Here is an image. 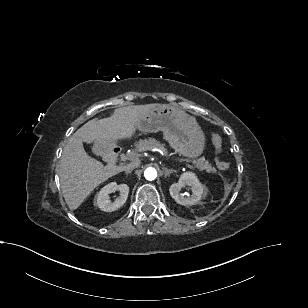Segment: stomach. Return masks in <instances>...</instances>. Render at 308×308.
I'll return each mask as SVG.
<instances>
[{
    "instance_id": "obj_1",
    "label": "stomach",
    "mask_w": 308,
    "mask_h": 308,
    "mask_svg": "<svg viewBox=\"0 0 308 308\" xmlns=\"http://www.w3.org/2000/svg\"><path fill=\"white\" fill-rule=\"evenodd\" d=\"M137 129L143 133L162 131L170 146L189 159L204 151L205 135L195 118L172 105L160 104L140 116ZM96 146L99 150L104 148L100 143Z\"/></svg>"
}]
</instances>
